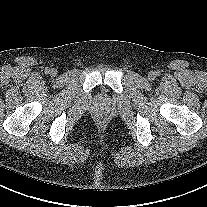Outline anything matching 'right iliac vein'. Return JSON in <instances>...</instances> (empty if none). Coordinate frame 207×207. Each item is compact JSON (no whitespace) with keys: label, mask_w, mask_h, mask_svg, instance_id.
<instances>
[{"label":"right iliac vein","mask_w":207,"mask_h":207,"mask_svg":"<svg viewBox=\"0 0 207 207\" xmlns=\"http://www.w3.org/2000/svg\"><path fill=\"white\" fill-rule=\"evenodd\" d=\"M56 73H57V71H56L55 69H51V70H50V74H51V75L54 76V75H56Z\"/></svg>","instance_id":"obj_1"}]
</instances>
